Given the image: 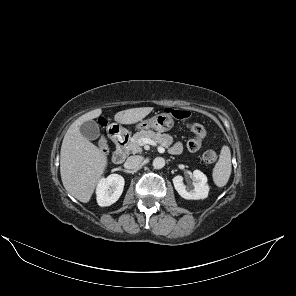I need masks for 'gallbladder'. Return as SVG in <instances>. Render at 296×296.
<instances>
[{"label":"gallbladder","mask_w":296,"mask_h":296,"mask_svg":"<svg viewBox=\"0 0 296 296\" xmlns=\"http://www.w3.org/2000/svg\"><path fill=\"white\" fill-rule=\"evenodd\" d=\"M80 133L88 140H95L100 136V129L94 120L85 121L80 126Z\"/></svg>","instance_id":"gallbladder-1"}]
</instances>
